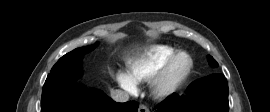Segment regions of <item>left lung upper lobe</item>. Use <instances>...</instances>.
Instances as JSON below:
<instances>
[{
	"mask_svg": "<svg viewBox=\"0 0 270 112\" xmlns=\"http://www.w3.org/2000/svg\"><path fill=\"white\" fill-rule=\"evenodd\" d=\"M208 61L212 67H217L218 63L213 59V57L208 56Z\"/></svg>",
	"mask_w": 270,
	"mask_h": 112,
	"instance_id": "obj_1",
	"label": "left lung upper lobe"
}]
</instances>
